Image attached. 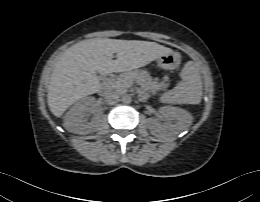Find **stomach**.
I'll use <instances>...</instances> for the list:
<instances>
[{"instance_id": "0dacf381", "label": "stomach", "mask_w": 260, "mask_h": 202, "mask_svg": "<svg viewBox=\"0 0 260 202\" xmlns=\"http://www.w3.org/2000/svg\"><path fill=\"white\" fill-rule=\"evenodd\" d=\"M158 66L165 70H173L178 67L180 57L178 54L171 52L163 54L157 59Z\"/></svg>"}]
</instances>
